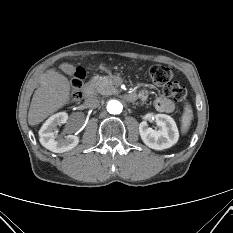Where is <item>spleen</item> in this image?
I'll return each mask as SVG.
<instances>
[{"instance_id":"spleen-1","label":"spleen","mask_w":233,"mask_h":233,"mask_svg":"<svg viewBox=\"0 0 233 233\" xmlns=\"http://www.w3.org/2000/svg\"><path fill=\"white\" fill-rule=\"evenodd\" d=\"M191 120H192V109L190 108L189 105H187L185 108L183 118H182V132L183 133H186L187 130L189 129Z\"/></svg>"}]
</instances>
